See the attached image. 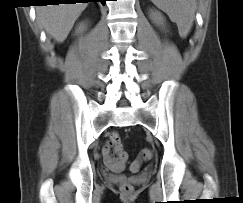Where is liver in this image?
<instances>
[{
	"mask_svg": "<svg viewBox=\"0 0 243 203\" xmlns=\"http://www.w3.org/2000/svg\"><path fill=\"white\" fill-rule=\"evenodd\" d=\"M86 7V3L38 6L37 22L57 42L62 43Z\"/></svg>",
	"mask_w": 243,
	"mask_h": 203,
	"instance_id": "liver-1",
	"label": "liver"
}]
</instances>
